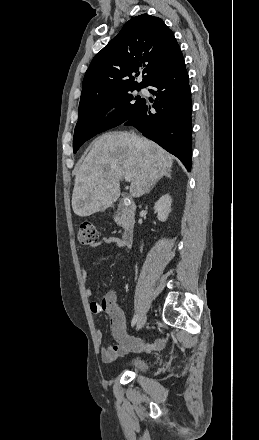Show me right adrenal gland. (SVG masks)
<instances>
[{
    "label": "right adrenal gland",
    "mask_w": 259,
    "mask_h": 440,
    "mask_svg": "<svg viewBox=\"0 0 259 440\" xmlns=\"http://www.w3.org/2000/svg\"><path fill=\"white\" fill-rule=\"evenodd\" d=\"M165 177H168V178H171V173L169 172V173H166L165 175H164ZM158 180H156L154 183H153V186L156 184V182H157ZM149 192V191H148Z\"/></svg>",
    "instance_id": "1"
}]
</instances>
